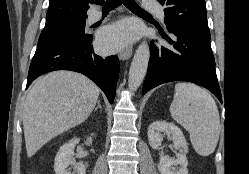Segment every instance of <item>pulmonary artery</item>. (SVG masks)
Wrapping results in <instances>:
<instances>
[{
    "instance_id": "pulmonary-artery-1",
    "label": "pulmonary artery",
    "mask_w": 249,
    "mask_h": 174,
    "mask_svg": "<svg viewBox=\"0 0 249 174\" xmlns=\"http://www.w3.org/2000/svg\"><path fill=\"white\" fill-rule=\"evenodd\" d=\"M143 4H144V10L146 12L153 13L161 21H165V12L159 3L153 0H143ZM101 17H102V13L100 11H95L88 16L87 21L88 23H94L100 20Z\"/></svg>"
}]
</instances>
